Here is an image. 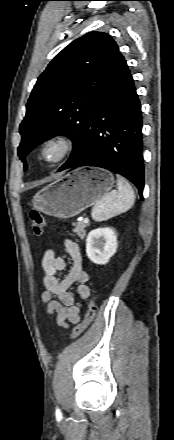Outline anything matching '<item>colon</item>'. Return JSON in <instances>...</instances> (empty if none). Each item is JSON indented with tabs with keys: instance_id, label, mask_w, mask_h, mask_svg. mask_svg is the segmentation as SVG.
Wrapping results in <instances>:
<instances>
[{
	"instance_id": "colon-1",
	"label": "colon",
	"mask_w": 174,
	"mask_h": 440,
	"mask_svg": "<svg viewBox=\"0 0 174 440\" xmlns=\"http://www.w3.org/2000/svg\"><path fill=\"white\" fill-rule=\"evenodd\" d=\"M30 222L35 234H41L42 230L47 226V219L38 211H32L30 213ZM95 299L92 297L89 300L88 308L85 314L84 319L73 329L71 338L76 339L80 337L85 330L90 326L91 322L94 319L95 315Z\"/></svg>"
}]
</instances>
